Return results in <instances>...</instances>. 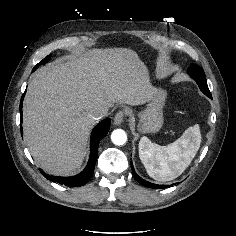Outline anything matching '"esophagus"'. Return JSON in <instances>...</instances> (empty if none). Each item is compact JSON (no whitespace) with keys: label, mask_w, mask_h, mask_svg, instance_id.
<instances>
[{"label":"esophagus","mask_w":236,"mask_h":236,"mask_svg":"<svg viewBox=\"0 0 236 236\" xmlns=\"http://www.w3.org/2000/svg\"><path fill=\"white\" fill-rule=\"evenodd\" d=\"M127 114H128L127 110L125 109L119 110L114 117V124L117 126L121 125Z\"/></svg>","instance_id":"obj_1"}]
</instances>
